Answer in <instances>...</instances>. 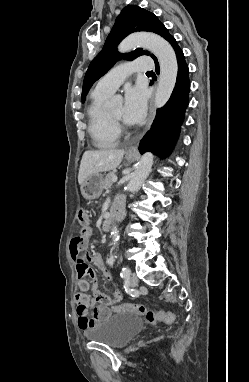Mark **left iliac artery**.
<instances>
[{"label": "left iliac artery", "instance_id": "obj_1", "mask_svg": "<svg viewBox=\"0 0 249 382\" xmlns=\"http://www.w3.org/2000/svg\"><path fill=\"white\" fill-rule=\"evenodd\" d=\"M120 275L122 278L128 279L131 276V270L128 267H124Z\"/></svg>", "mask_w": 249, "mask_h": 382}]
</instances>
